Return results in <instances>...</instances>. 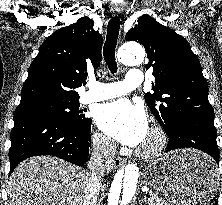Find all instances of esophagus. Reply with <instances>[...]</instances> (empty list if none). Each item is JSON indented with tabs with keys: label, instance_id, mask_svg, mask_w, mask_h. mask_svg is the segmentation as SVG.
Instances as JSON below:
<instances>
[{
	"label": "esophagus",
	"instance_id": "obj_1",
	"mask_svg": "<svg viewBox=\"0 0 222 205\" xmlns=\"http://www.w3.org/2000/svg\"><path fill=\"white\" fill-rule=\"evenodd\" d=\"M122 9L119 6H112L111 7V12L113 13V15H119L121 13ZM125 163V159L123 158H116L114 160V165L115 167H120Z\"/></svg>",
	"mask_w": 222,
	"mask_h": 205
}]
</instances>
